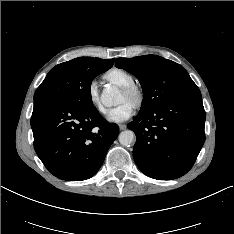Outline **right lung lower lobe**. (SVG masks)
<instances>
[{
  "mask_svg": "<svg viewBox=\"0 0 234 234\" xmlns=\"http://www.w3.org/2000/svg\"><path fill=\"white\" fill-rule=\"evenodd\" d=\"M35 151L48 171L68 181L94 176L119 134L94 106L41 98L34 101L31 117Z\"/></svg>",
  "mask_w": 234,
  "mask_h": 234,
  "instance_id": "1",
  "label": "right lung lower lobe"
}]
</instances>
